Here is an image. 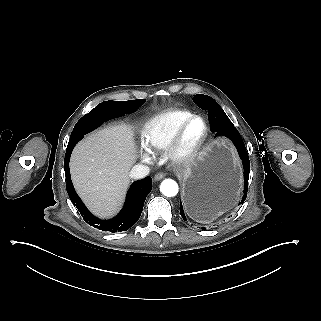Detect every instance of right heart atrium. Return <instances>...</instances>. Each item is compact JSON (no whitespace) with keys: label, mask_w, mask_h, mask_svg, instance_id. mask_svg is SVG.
Segmentation results:
<instances>
[{"label":"right heart atrium","mask_w":321,"mask_h":321,"mask_svg":"<svg viewBox=\"0 0 321 321\" xmlns=\"http://www.w3.org/2000/svg\"><path fill=\"white\" fill-rule=\"evenodd\" d=\"M139 153H140V159L142 162L146 164H152L154 162V156L152 152L143 144L140 147Z\"/></svg>","instance_id":"right-heart-atrium-1"}]
</instances>
